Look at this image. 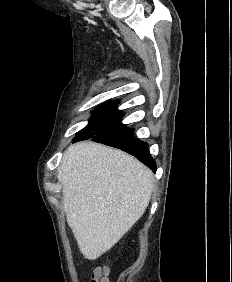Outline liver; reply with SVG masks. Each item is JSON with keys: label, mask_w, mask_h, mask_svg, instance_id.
Instances as JSON below:
<instances>
[{"label": "liver", "mask_w": 232, "mask_h": 282, "mask_svg": "<svg viewBox=\"0 0 232 282\" xmlns=\"http://www.w3.org/2000/svg\"><path fill=\"white\" fill-rule=\"evenodd\" d=\"M63 210L80 252L95 260L145 212L153 173L133 156L94 142L70 145L58 168Z\"/></svg>", "instance_id": "1"}]
</instances>
